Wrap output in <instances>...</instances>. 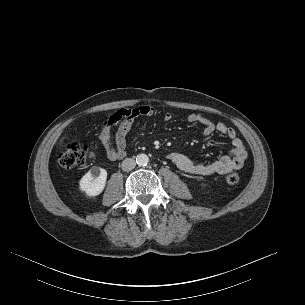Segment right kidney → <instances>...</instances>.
<instances>
[{
  "mask_svg": "<svg viewBox=\"0 0 305 305\" xmlns=\"http://www.w3.org/2000/svg\"><path fill=\"white\" fill-rule=\"evenodd\" d=\"M107 171L101 167H92L80 180L79 189L89 197L98 196L105 188Z\"/></svg>",
  "mask_w": 305,
  "mask_h": 305,
  "instance_id": "obj_1",
  "label": "right kidney"
}]
</instances>
